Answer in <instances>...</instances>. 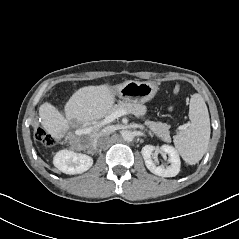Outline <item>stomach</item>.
<instances>
[{"mask_svg": "<svg viewBox=\"0 0 239 239\" xmlns=\"http://www.w3.org/2000/svg\"><path fill=\"white\" fill-rule=\"evenodd\" d=\"M158 87L150 81H126L112 88L115 95L123 101L132 103H146L157 93Z\"/></svg>", "mask_w": 239, "mask_h": 239, "instance_id": "stomach-1", "label": "stomach"}]
</instances>
